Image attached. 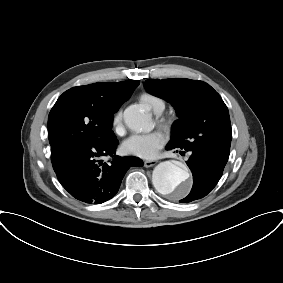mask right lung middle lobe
Here are the masks:
<instances>
[{
	"label": "right lung middle lobe",
	"mask_w": 283,
	"mask_h": 283,
	"mask_svg": "<svg viewBox=\"0 0 283 283\" xmlns=\"http://www.w3.org/2000/svg\"><path fill=\"white\" fill-rule=\"evenodd\" d=\"M103 112L74 87L64 92L48 117L51 150L74 148L81 143L106 145L116 139L111 131L113 113Z\"/></svg>",
	"instance_id": "right-lung-middle-lobe-1"
}]
</instances>
